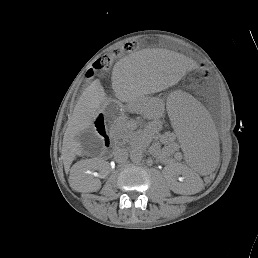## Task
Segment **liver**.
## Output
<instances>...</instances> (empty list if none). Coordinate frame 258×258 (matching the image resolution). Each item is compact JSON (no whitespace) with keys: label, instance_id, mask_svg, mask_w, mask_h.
<instances>
[{"label":"liver","instance_id":"obj_1","mask_svg":"<svg viewBox=\"0 0 258 258\" xmlns=\"http://www.w3.org/2000/svg\"><path fill=\"white\" fill-rule=\"evenodd\" d=\"M160 75H163L161 67L143 60L140 52H137L115 65L112 88L116 93V97L120 101L126 102L130 100L134 83L140 76ZM107 102L106 93L98 79L94 80L80 96L63 137L62 159L66 171H69L75 156L81 155L83 152L76 136L81 131L91 128L101 107L106 105ZM76 166L70 171L69 184L79 192H87L90 189V183L85 181V176L83 175H73V171L78 172Z\"/></svg>","mask_w":258,"mask_h":258}]
</instances>
